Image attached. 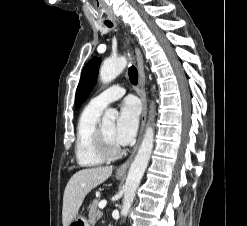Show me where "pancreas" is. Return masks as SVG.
I'll use <instances>...</instances> for the list:
<instances>
[{
	"label": "pancreas",
	"mask_w": 247,
	"mask_h": 226,
	"mask_svg": "<svg viewBox=\"0 0 247 226\" xmlns=\"http://www.w3.org/2000/svg\"><path fill=\"white\" fill-rule=\"evenodd\" d=\"M99 201L94 199L89 210V222L95 224L96 221L102 217L103 213L98 210Z\"/></svg>",
	"instance_id": "pancreas-1"
}]
</instances>
